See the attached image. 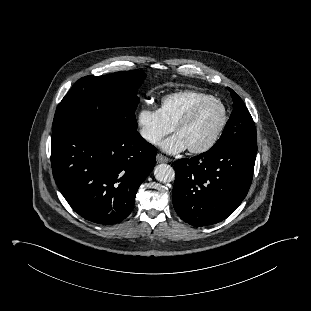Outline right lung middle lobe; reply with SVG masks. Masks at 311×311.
I'll use <instances>...</instances> for the list:
<instances>
[{
  "label": "right lung middle lobe",
  "instance_id": "obj_1",
  "mask_svg": "<svg viewBox=\"0 0 311 311\" xmlns=\"http://www.w3.org/2000/svg\"><path fill=\"white\" fill-rule=\"evenodd\" d=\"M144 77L134 70L79 79L58 105L52 133L74 128L136 130V91Z\"/></svg>",
  "mask_w": 311,
  "mask_h": 311
}]
</instances>
